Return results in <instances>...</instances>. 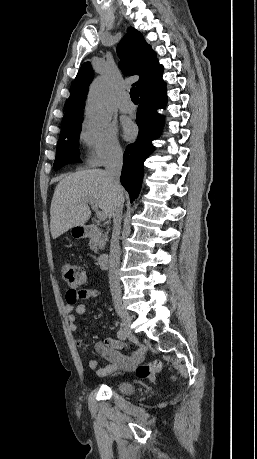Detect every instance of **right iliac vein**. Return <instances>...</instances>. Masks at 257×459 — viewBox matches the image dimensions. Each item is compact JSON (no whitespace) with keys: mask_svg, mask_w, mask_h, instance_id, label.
Returning a JSON list of instances; mask_svg holds the SVG:
<instances>
[{"mask_svg":"<svg viewBox=\"0 0 257 459\" xmlns=\"http://www.w3.org/2000/svg\"><path fill=\"white\" fill-rule=\"evenodd\" d=\"M117 314L121 318V327L125 330L130 336H132L131 323L132 318L127 310L123 307L117 308Z\"/></svg>","mask_w":257,"mask_h":459,"instance_id":"63e3f726","label":"right iliac vein"}]
</instances>
